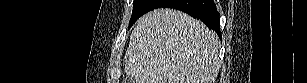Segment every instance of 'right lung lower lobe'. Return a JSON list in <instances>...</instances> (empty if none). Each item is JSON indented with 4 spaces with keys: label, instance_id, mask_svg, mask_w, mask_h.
I'll use <instances>...</instances> for the list:
<instances>
[{
    "label": "right lung lower lobe",
    "instance_id": "98d812e1",
    "mask_svg": "<svg viewBox=\"0 0 307 83\" xmlns=\"http://www.w3.org/2000/svg\"><path fill=\"white\" fill-rule=\"evenodd\" d=\"M159 7L177 9L198 18L221 38L219 13L213 0H153L150 10Z\"/></svg>",
    "mask_w": 307,
    "mask_h": 83
}]
</instances>
